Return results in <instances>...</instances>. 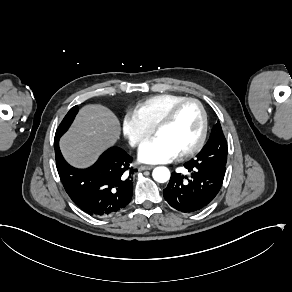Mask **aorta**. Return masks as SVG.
I'll return each mask as SVG.
<instances>
[{
  "mask_svg": "<svg viewBox=\"0 0 292 292\" xmlns=\"http://www.w3.org/2000/svg\"><path fill=\"white\" fill-rule=\"evenodd\" d=\"M153 179L159 183H165L170 178V171L167 167H156L152 173Z\"/></svg>",
  "mask_w": 292,
  "mask_h": 292,
  "instance_id": "762f6f07",
  "label": "aorta"
}]
</instances>
